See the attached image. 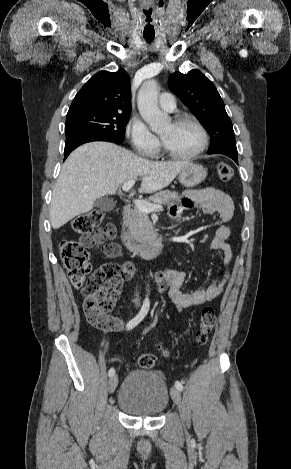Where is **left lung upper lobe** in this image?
Here are the masks:
<instances>
[{
	"label": "left lung upper lobe",
	"instance_id": "obj_1",
	"mask_svg": "<svg viewBox=\"0 0 291 469\" xmlns=\"http://www.w3.org/2000/svg\"><path fill=\"white\" fill-rule=\"evenodd\" d=\"M170 89L189 107L211 136L208 153L237 152L232 123L214 84L199 70L175 72L169 77Z\"/></svg>",
	"mask_w": 291,
	"mask_h": 469
}]
</instances>
